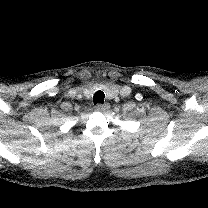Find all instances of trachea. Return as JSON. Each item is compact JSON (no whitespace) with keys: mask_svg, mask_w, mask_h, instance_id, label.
<instances>
[{"mask_svg":"<svg viewBox=\"0 0 208 208\" xmlns=\"http://www.w3.org/2000/svg\"><path fill=\"white\" fill-rule=\"evenodd\" d=\"M104 98H105V94H104L103 91L99 90V91L95 92V94L93 96L94 105H96V104H103Z\"/></svg>","mask_w":208,"mask_h":208,"instance_id":"1","label":"trachea"}]
</instances>
